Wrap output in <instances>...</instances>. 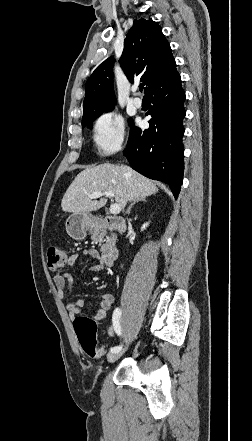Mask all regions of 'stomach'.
I'll return each mask as SVG.
<instances>
[{
	"label": "stomach",
	"instance_id": "0dacf381",
	"mask_svg": "<svg viewBox=\"0 0 252 441\" xmlns=\"http://www.w3.org/2000/svg\"><path fill=\"white\" fill-rule=\"evenodd\" d=\"M96 229V220L89 213L74 212L66 220V230L75 240H83Z\"/></svg>",
	"mask_w": 252,
	"mask_h": 441
}]
</instances>
